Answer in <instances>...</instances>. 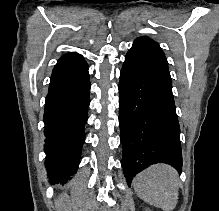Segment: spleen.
<instances>
[{"mask_svg":"<svg viewBox=\"0 0 219 211\" xmlns=\"http://www.w3.org/2000/svg\"><path fill=\"white\" fill-rule=\"evenodd\" d=\"M133 187L140 199L171 211L176 207L179 195L177 173L167 163H155L134 177Z\"/></svg>","mask_w":219,"mask_h":211,"instance_id":"spleen-1","label":"spleen"}]
</instances>
